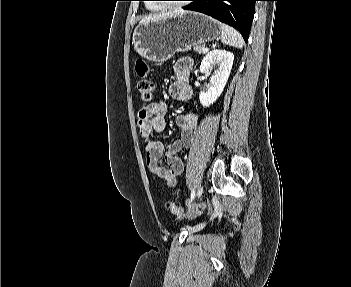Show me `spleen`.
<instances>
[{
  "label": "spleen",
  "mask_w": 351,
  "mask_h": 287,
  "mask_svg": "<svg viewBox=\"0 0 351 287\" xmlns=\"http://www.w3.org/2000/svg\"><path fill=\"white\" fill-rule=\"evenodd\" d=\"M221 40L223 44L240 49L243 47L244 44L241 34L237 30L226 24H221Z\"/></svg>",
  "instance_id": "obj_1"
}]
</instances>
